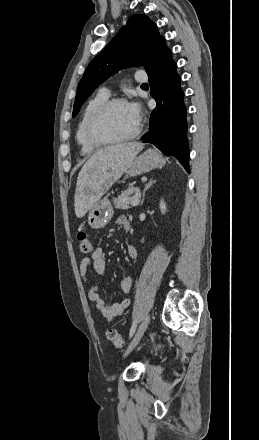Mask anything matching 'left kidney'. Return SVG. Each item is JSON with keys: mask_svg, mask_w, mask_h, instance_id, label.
<instances>
[{"mask_svg": "<svg viewBox=\"0 0 259 440\" xmlns=\"http://www.w3.org/2000/svg\"><path fill=\"white\" fill-rule=\"evenodd\" d=\"M159 208H160L162 214L166 213V203L164 202L163 199L160 201Z\"/></svg>", "mask_w": 259, "mask_h": 440, "instance_id": "5707ae66", "label": "left kidney"}]
</instances>
